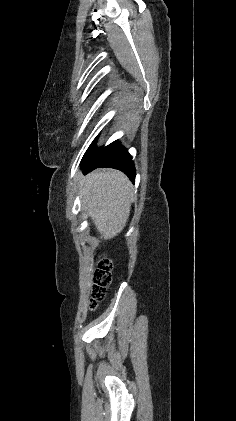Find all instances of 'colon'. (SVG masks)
I'll use <instances>...</instances> for the list:
<instances>
[{"instance_id":"1","label":"colon","mask_w":236,"mask_h":421,"mask_svg":"<svg viewBox=\"0 0 236 421\" xmlns=\"http://www.w3.org/2000/svg\"><path fill=\"white\" fill-rule=\"evenodd\" d=\"M113 264L111 260L103 258L99 261L94 274V282L91 292V308L95 309L100 301L106 296L108 287L112 281Z\"/></svg>"}]
</instances>
